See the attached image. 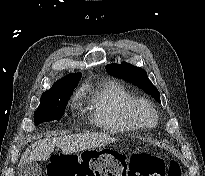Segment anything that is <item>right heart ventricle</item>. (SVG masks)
Here are the masks:
<instances>
[{
    "instance_id": "right-heart-ventricle-1",
    "label": "right heart ventricle",
    "mask_w": 205,
    "mask_h": 176,
    "mask_svg": "<svg viewBox=\"0 0 205 176\" xmlns=\"http://www.w3.org/2000/svg\"><path fill=\"white\" fill-rule=\"evenodd\" d=\"M133 94L115 80L100 81L90 99V112L100 128L113 134L134 131L137 126L129 115Z\"/></svg>"
}]
</instances>
